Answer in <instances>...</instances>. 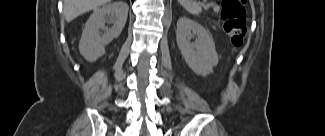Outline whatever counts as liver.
Wrapping results in <instances>:
<instances>
[{
    "label": "liver",
    "mask_w": 325,
    "mask_h": 136,
    "mask_svg": "<svg viewBox=\"0 0 325 136\" xmlns=\"http://www.w3.org/2000/svg\"><path fill=\"white\" fill-rule=\"evenodd\" d=\"M109 1L110 0H64L63 13L66 21L70 22L79 15L105 5Z\"/></svg>",
    "instance_id": "1"
}]
</instances>
